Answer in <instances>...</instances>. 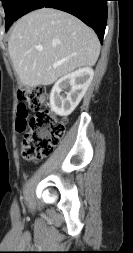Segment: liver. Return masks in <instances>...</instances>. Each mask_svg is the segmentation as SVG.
Instances as JSON below:
<instances>
[{
  "instance_id": "6515ba94",
  "label": "liver",
  "mask_w": 133,
  "mask_h": 253,
  "mask_svg": "<svg viewBox=\"0 0 133 253\" xmlns=\"http://www.w3.org/2000/svg\"><path fill=\"white\" fill-rule=\"evenodd\" d=\"M38 46L43 51L39 52ZM8 50L20 82L37 87L53 84L77 68L94 66L100 42L95 32L73 15L42 8L14 24Z\"/></svg>"
}]
</instances>
